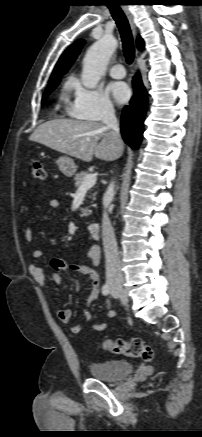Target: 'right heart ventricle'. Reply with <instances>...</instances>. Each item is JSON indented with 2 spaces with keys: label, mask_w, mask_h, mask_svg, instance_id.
Returning a JSON list of instances; mask_svg holds the SVG:
<instances>
[{
  "label": "right heart ventricle",
  "mask_w": 202,
  "mask_h": 437,
  "mask_svg": "<svg viewBox=\"0 0 202 437\" xmlns=\"http://www.w3.org/2000/svg\"><path fill=\"white\" fill-rule=\"evenodd\" d=\"M71 84H67L64 86L63 91H62V96H64L66 94V92L70 89Z\"/></svg>",
  "instance_id": "e07e8e85"
}]
</instances>
